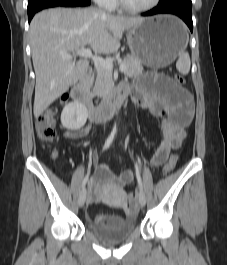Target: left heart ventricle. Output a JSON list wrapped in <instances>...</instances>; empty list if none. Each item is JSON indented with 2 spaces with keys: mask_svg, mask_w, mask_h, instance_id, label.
Wrapping results in <instances>:
<instances>
[{
  "mask_svg": "<svg viewBox=\"0 0 227 265\" xmlns=\"http://www.w3.org/2000/svg\"><path fill=\"white\" fill-rule=\"evenodd\" d=\"M132 7H144L149 5L153 0H125Z\"/></svg>",
  "mask_w": 227,
  "mask_h": 265,
  "instance_id": "b2bd125f",
  "label": "left heart ventricle"
}]
</instances>
